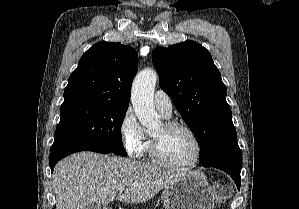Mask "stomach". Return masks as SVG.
<instances>
[{
  "label": "stomach",
  "mask_w": 299,
  "mask_h": 209,
  "mask_svg": "<svg viewBox=\"0 0 299 209\" xmlns=\"http://www.w3.org/2000/svg\"><path fill=\"white\" fill-rule=\"evenodd\" d=\"M165 209H214V196L206 176L192 172L164 188Z\"/></svg>",
  "instance_id": "stomach-1"
}]
</instances>
